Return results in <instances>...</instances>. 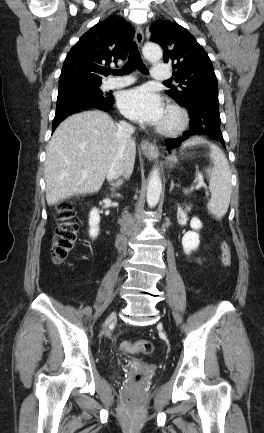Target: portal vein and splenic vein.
I'll return each instance as SVG.
<instances>
[{
  "label": "portal vein and splenic vein",
  "instance_id": "obj_1",
  "mask_svg": "<svg viewBox=\"0 0 264 433\" xmlns=\"http://www.w3.org/2000/svg\"><path fill=\"white\" fill-rule=\"evenodd\" d=\"M84 174H86V172H84ZM201 187H205L207 188V186L205 185V183L203 181H199L198 185L195 187V189H199ZM193 189V188H192Z\"/></svg>",
  "mask_w": 264,
  "mask_h": 433
}]
</instances>
